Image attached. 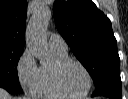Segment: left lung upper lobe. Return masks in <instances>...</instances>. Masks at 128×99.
<instances>
[{
    "label": "left lung upper lobe",
    "mask_w": 128,
    "mask_h": 99,
    "mask_svg": "<svg viewBox=\"0 0 128 99\" xmlns=\"http://www.w3.org/2000/svg\"><path fill=\"white\" fill-rule=\"evenodd\" d=\"M53 10L59 33L87 69L95 86L105 77L120 75L111 22L92 1H56Z\"/></svg>",
    "instance_id": "5c2ea615"
}]
</instances>
